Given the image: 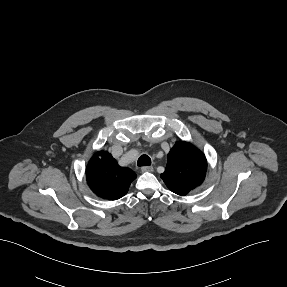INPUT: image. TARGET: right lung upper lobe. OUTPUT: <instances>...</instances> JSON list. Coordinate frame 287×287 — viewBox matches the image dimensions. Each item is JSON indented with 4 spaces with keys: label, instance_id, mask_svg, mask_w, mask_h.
<instances>
[{
    "label": "right lung upper lobe",
    "instance_id": "obj_1",
    "mask_svg": "<svg viewBox=\"0 0 287 287\" xmlns=\"http://www.w3.org/2000/svg\"><path fill=\"white\" fill-rule=\"evenodd\" d=\"M136 174L129 168L120 167L108 152L99 151L89 161L86 179L90 189L99 197L116 200L123 197Z\"/></svg>",
    "mask_w": 287,
    "mask_h": 287
}]
</instances>
